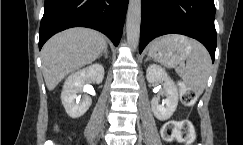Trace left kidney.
Here are the masks:
<instances>
[{"label": "left kidney", "mask_w": 243, "mask_h": 145, "mask_svg": "<svg viewBox=\"0 0 243 145\" xmlns=\"http://www.w3.org/2000/svg\"><path fill=\"white\" fill-rule=\"evenodd\" d=\"M146 78L149 83L164 82L162 93L166 96L165 105H160L159 98L155 96L151 100V108L158 120L166 121L177 108L179 99L178 89L166 71L158 65H149L146 71Z\"/></svg>", "instance_id": "obj_1"}]
</instances>
